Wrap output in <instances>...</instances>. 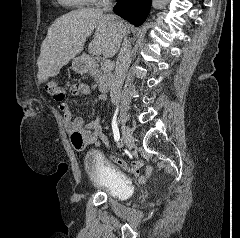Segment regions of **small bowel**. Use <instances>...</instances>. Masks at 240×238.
<instances>
[{
	"label": "small bowel",
	"instance_id": "obj_1",
	"mask_svg": "<svg viewBox=\"0 0 240 238\" xmlns=\"http://www.w3.org/2000/svg\"><path fill=\"white\" fill-rule=\"evenodd\" d=\"M70 93L73 96H80V95H89L91 94V88L84 84V83H76L70 87ZM107 99L105 94H100L94 99V103L98 104L102 101ZM59 108L63 114V123L65 125L66 130L73 135L74 133L78 132L84 136V141L81 146H74L77 149H82L87 144L94 143V146L98 148L99 143H103L104 146H109L110 142L103 134V129L101 125V118L95 117L90 122L85 123L83 118L81 117H73L70 107L65 102H60ZM111 149V148H110ZM115 160L116 166H120L123 172L130 171L131 175H139V169L141 168L140 162L135 164L133 167L129 164V161H123V157H118L117 154H112L111 157L108 158L109 162H113ZM151 173V167H148L147 175H140L139 176V184L142 187H151V182H146L148 177Z\"/></svg>",
	"mask_w": 240,
	"mask_h": 238
}]
</instances>
